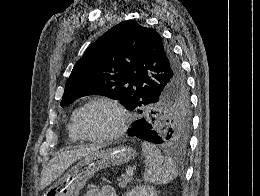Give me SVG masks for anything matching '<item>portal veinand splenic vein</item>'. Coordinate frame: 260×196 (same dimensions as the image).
<instances>
[{"label":"portal vein and splenic vein","instance_id":"obj_1","mask_svg":"<svg viewBox=\"0 0 260 196\" xmlns=\"http://www.w3.org/2000/svg\"><path fill=\"white\" fill-rule=\"evenodd\" d=\"M127 176H129V178H132V176H133V168H130V170H127Z\"/></svg>","mask_w":260,"mask_h":196}]
</instances>
